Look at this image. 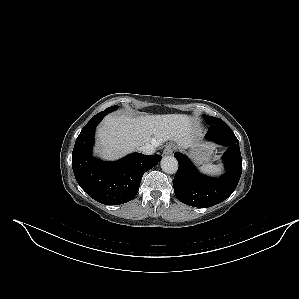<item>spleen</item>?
<instances>
[{"label": "spleen", "instance_id": "1", "mask_svg": "<svg viewBox=\"0 0 299 299\" xmlns=\"http://www.w3.org/2000/svg\"><path fill=\"white\" fill-rule=\"evenodd\" d=\"M200 169L203 172L209 173V174H217V173L220 172V166L214 165V164H210V163L201 166Z\"/></svg>", "mask_w": 299, "mask_h": 299}]
</instances>
